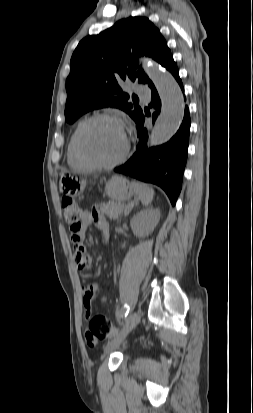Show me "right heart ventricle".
Returning <instances> with one entry per match:
<instances>
[{"label": "right heart ventricle", "mask_w": 253, "mask_h": 413, "mask_svg": "<svg viewBox=\"0 0 253 413\" xmlns=\"http://www.w3.org/2000/svg\"><path fill=\"white\" fill-rule=\"evenodd\" d=\"M80 125H81V123H79V124L76 126L75 130L73 131V133H72V135H71V137H70V139H69V142H68V145H67V152H66V154H67V161H68V164H69L71 167H73V168H76V169H87L89 166H87V165L80 159V157H79L78 154H77L76 145H75L76 133H77V130H78V128H79Z\"/></svg>", "instance_id": "right-heart-ventricle-1"}]
</instances>
